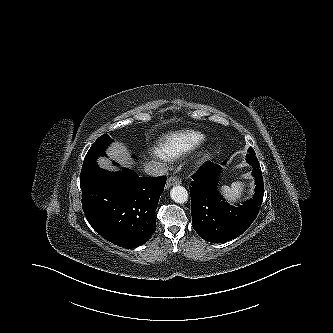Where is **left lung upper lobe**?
I'll use <instances>...</instances> for the list:
<instances>
[{"label":"left lung upper lobe","instance_id":"1","mask_svg":"<svg viewBox=\"0 0 333 333\" xmlns=\"http://www.w3.org/2000/svg\"><path fill=\"white\" fill-rule=\"evenodd\" d=\"M248 151H249V152H252V153H255V151L253 150L252 147H250V148L248 149ZM256 163L259 164V162H256ZM251 165L253 166L254 169H259V170H261V169H260V165H255V164H251Z\"/></svg>","mask_w":333,"mask_h":333}]
</instances>
